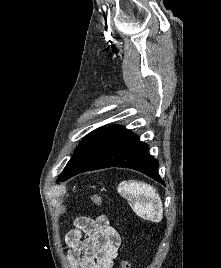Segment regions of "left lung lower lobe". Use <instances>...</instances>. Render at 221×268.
Returning a JSON list of instances; mask_svg holds the SVG:
<instances>
[{"label": "left lung lower lobe", "mask_w": 221, "mask_h": 268, "mask_svg": "<svg viewBox=\"0 0 221 268\" xmlns=\"http://www.w3.org/2000/svg\"><path fill=\"white\" fill-rule=\"evenodd\" d=\"M108 167L132 168L164 184L158 174V161L147 153L146 143L119 125L108 127L96 136L72 164L62 171L57 181Z\"/></svg>", "instance_id": "1"}]
</instances>
